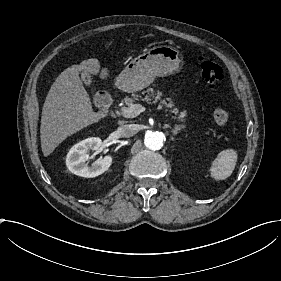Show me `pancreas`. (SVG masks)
<instances>
[{
	"label": "pancreas",
	"mask_w": 281,
	"mask_h": 281,
	"mask_svg": "<svg viewBox=\"0 0 281 281\" xmlns=\"http://www.w3.org/2000/svg\"><path fill=\"white\" fill-rule=\"evenodd\" d=\"M146 93H147L148 95H146L145 98L142 99V100L146 101L147 103H149V102L152 100L150 97H153V103H156V102L160 99V96H161V93H160V92H157L156 94H154L152 88H148V89L146 90ZM135 96L138 97V98H141V96H139V95H135ZM135 100H137V98L134 99V98H132V97L125 96L124 99L121 100V103H123V104L126 105V106H130V105L132 104V102L135 101ZM165 103H166V102L163 100V101H162V105H164ZM166 107H167L168 110H170V109L173 107V104H172V103H168V104L166 105ZM123 108H124V107H122L121 110H123ZM172 113H174L175 115H177L178 110H177V109H174V110L172 111ZM185 115H186L185 113L181 112L180 117L182 118V117H184Z\"/></svg>",
	"instance_id": "obj_1"
}]
</instances>
